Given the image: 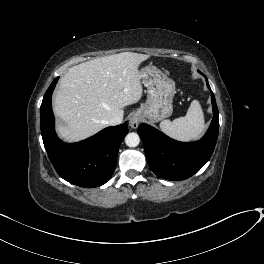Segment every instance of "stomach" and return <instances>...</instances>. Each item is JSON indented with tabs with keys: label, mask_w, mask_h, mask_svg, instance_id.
<instances>
[{
	"label": "stomach",
	"mask_w": 264,
	"mask_h": 264,
	"mask_svg": "<svg viewBox=\"0 0 264 264\" xmlns=\"http://www.w3.org/2000/svg\"><path fill=\"white\" fill-rule=\"evenodd\" d=\"M140 75L142 83L147 88V100L137 113L151 123L171 116L175 94L174 82L154 66L142 68Z\"/></svg>",
	"instance_id": "stomach-1"
}]
</instances>
